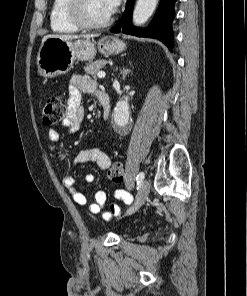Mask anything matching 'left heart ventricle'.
<instances>
[{"label": "left heart ventricle", "instance_id": "left-heart-ventricle-1", "mask_svg": "<svg viewBox=\"0 0 247 296\" xmlns=\"http://www.w3.org/2000/svg\"><path fill=\"white\" fill-rule=\"evenodd\" d=\"M83 13L85 19L92 23L103 22L110 16L104 0H85Z\"/></svg>", "mask_w": 247, "mask_h": 296}]
</instances>
